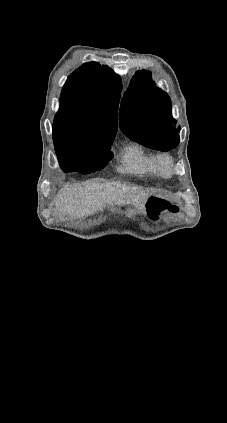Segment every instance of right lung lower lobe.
Listing matches in <instances>:
<instances>
[{
	"instance_id": "1",
	"label": "right lung lower lobe",
	"mask_w": 227,
	"mask_h": 423,
	"mask_svg": "<svg viewBox=\"0 0 227 423\" xmlns=\"http://www.w3.org/2000/svg\"><path fill=\"white\" fill-rule=\"evenodd\" d=\"M61 168H62L65 172H67V171H72V168L67 167V166H63V165H61Z\"/></svg>"
}]
</instances>
